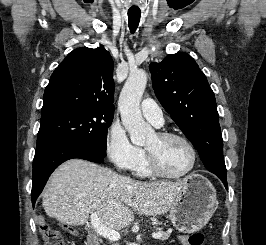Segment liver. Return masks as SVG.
<instances>
[{"instance_id":"liver-1","label":"liver","mask_w":266,"mask_h":245,"mask_svg":"<svg viewBox=\"0 0 266 245\" xmlns=\"http://www.w3.org/2000/svg\"><path fill=\"white\" fill-rule=\"evenodd\" d=\"M185 183H141L82 159H71L54 171L43 193L42 207L65 225H85L96 213L101 225L121 231L138 215H164Z\"/></svg>"}]
</instances>
